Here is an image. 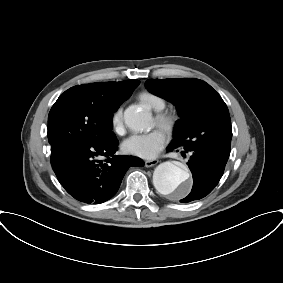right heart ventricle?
Returning a JSON list of instances; mask_svg holds the SVG:
<instances>
[{"mask_svg":"<svg viewBox=\"0 0 283 283\" xmlns=\"http://www.w3.org/2000/svg\"><path fill=\"white\" fill-rule=\"evenodd\" d=\"M138 100L155 111H161L166 106V100L157 93L152 91H142L138 94Z\"/></svg>","mask_w":283,"mask_h":283,"instance_id":"e07e8e85","label":"right heart ventricle"}]
</instances>
